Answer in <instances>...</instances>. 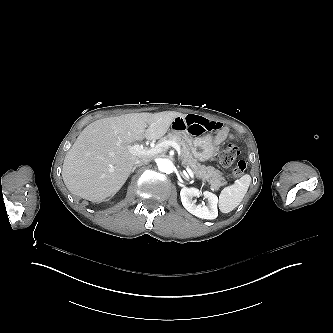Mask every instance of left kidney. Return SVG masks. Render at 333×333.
Returning a JSON list of instances; mask_svg holds the SVG:
<instances>
[{
  "label": "left kidney",
  "instance_id": "left-kidney-1",
  "mask_svg": "<svg viewBox=\"0 0 333 333\" xmlns=\"http://www.w3.org/2000/svg\"><path fill=\"white\" fill-rule=\"evenodd\" d=\"M201 192L199 189L191 187H184L180 191L181 202L184 208L191 214L203 219H215L218 216V197L209 191H204L203 195L208 199V205H196L192 198L199 196Z\"/></svg>",
  "mask_w": 333,
  "mask_h": 333
}]
</instances>
